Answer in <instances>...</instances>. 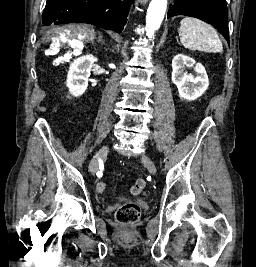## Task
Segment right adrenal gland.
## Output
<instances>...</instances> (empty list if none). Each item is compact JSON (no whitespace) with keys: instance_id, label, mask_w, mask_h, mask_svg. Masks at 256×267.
Returning a JSON list of instances; mask_svg holds the SVG:
<instances>
[{"instance_id":"right-adrenal-gland-1","label":"right adrenal gland","mask_w":256,"mask_h":267,"mask_svg":"<svg viewBox=\"0 0 256 267\" xmlns=\"http://www.w3.org/2000/svg\"><path fill=\"white\" fill-rule=\"evenodd\" d=\"M99 42H103L102 38H101V40H99Z\"/></svg>"}]
</instances>
